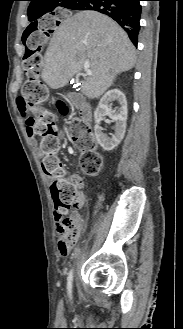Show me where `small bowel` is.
<instances>
[{
  "mask_svg": "<svg viewBox=\"0 0 183 329\" xmlns=\"http://www.w3.org/2000/svg\"><path fill=\"white\" fill-rule=\"evenodd\" d=\"M17 107H18V103H17ZM21 117L26 125V130H27L29 137L32 139L33 142H35L34 135L32 133L31 127L29 125L30 114H21ZM69 178L77 183V201H78L77 207L80 208L83 206L84 201H85V195L82 190L83 186H84L83 181L81 180L80 177H78L76 175H69ZM70 220L74 224V226L77 228V230L80 231L82 228V219L76 211L71 213ZM56 221H57L56 230L61 235L60 239L58 241V251L61 255L66 256L69 254V252L72 248V245L68 244L65 241V234L63 232L62 225L59 220L56 219ZM76 240H77V238H76Z\"/></svg>",
  "mask_w": 183,
  "mask_h": 329,
  "instance_id": "c3829d8e",
  "label": "small bowel"
}]
</instances>
